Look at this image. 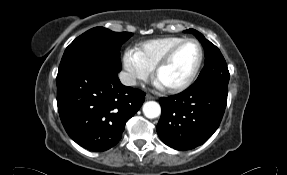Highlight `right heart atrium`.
Returning a JSON list of instances; mask_svg holds the SVG:
<instances>
[{
  "mask_svg": "<svg viewBox=\"0 0 287 175\" xmlns=\"http://www.w3.org/2000/svg\"><path fill=\"white\" fill-rule=\"evenodd\" d=\"M122 64L126 70V81L130 85H135L139 81H147L152 70L140 59L137 52L133 49H126Z\"/></svg>",
  "mask_w": 287,
  "mask_h": 175,
  "instance_id": "obj_1",
  "label": "right heart atrium"
}]
</instances>
